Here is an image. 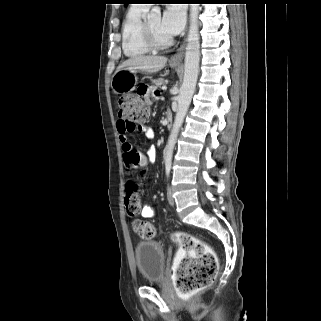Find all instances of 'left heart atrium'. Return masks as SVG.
Instances as JSON below:
<instances>
[{"label": "left heart atrium", "mask_w": 321, "mask_h": 321, "mask_svg": "<svg viewBox=\"0 0 321 321\" xmlns=\"http://www.w3.org/2000/svg\"><path fill=\"white\" fill-rule=\"evenodd\" d=\"M186 13L182 5L170 4L164 10L160 27L169 36H175L179 34L185 25Z\"/></svg>", "instance_id": "39dd6f15"}]
</instances>
